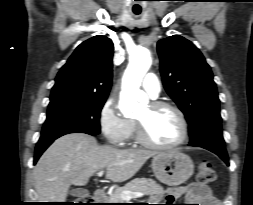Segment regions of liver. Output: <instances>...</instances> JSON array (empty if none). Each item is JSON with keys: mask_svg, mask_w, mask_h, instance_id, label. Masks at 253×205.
I'll use <instances>...</instances> for the list:
<instances>
[{"mask_svg": "<svg viewBox=\"0 0 253 205\" xmlns=\"http://www.w3.org/2000/svg\"><path fill=\"white\" fill-rule=\"evenodd\" d=\"M155 152L99 146L84 133L64 135L43 153L34 170L35 189L41 202H65L71 185L84 186L96 172L124 182L132 178Z\"/></svg>", "mask_w": 253, "mask_h": 205, "instance_id": "6515ba94", "label": "liver"}]
</instances>
